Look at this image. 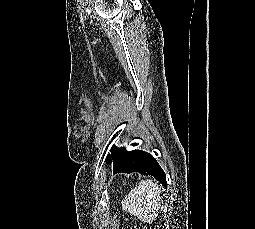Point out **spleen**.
<instances>
[{
	"mask_svg": "<svg viewBox=\"0 0 255 229\" xmlns=\"http://www.w3.org/2000/svg\"><path fill=\"white\" fill-rule=\"evenodd\" d=\"M161 188L152 180H142L122 201L125 211L144 222H151L158 216L161 207Z\"/></svg>",
	"mask_w": 255,
	"mask_h": 229,
	"instance_id": "1",
	"label": "spleen"
}]
</instances>
